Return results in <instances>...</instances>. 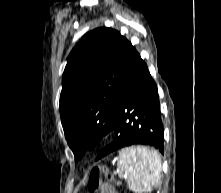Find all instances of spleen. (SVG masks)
Here are the masks:
<instances>
[{"instance_id": "spleen-1", "label": "spleen", "mask_w": 221, "mask_h": 193, "mask_svg": "<svg viewBox=\"0 0 221 193\" xmlns=\"http://www.w3.org/2000/svg\"><path fill=\"white\" fill-rule=\"evenodd\" d=\"M118 168L129 190L148 193L160 181L162 164L156 150L142 146H123L119 152Z\"/></svg>"}]
</instances>
